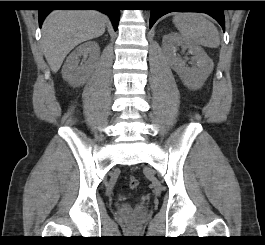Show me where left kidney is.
Instances as JSON below:
<instances>
[{
	"mask_svg": "<svg viewBox=\"0 0 265 245\" xmlns=\"http://www.w3.org/2000/svg\"><path fill=\"white\" fill-rule=\"evenodd\" d=\"M162 46L171 68L179 75L184 85L193 90L200 89L214 67L213 61L206 52L200 46L174 32L163 37ZM178 47L188 49L193 55L191 60L195 65L192 68L187 67L186 61L176 53Z\"/></svg>",
	"mask_w": 265,
	"mask_h": 245,
	"instance_id": "5707ae66",
	"label": "left kidney"
}]
</instances>
